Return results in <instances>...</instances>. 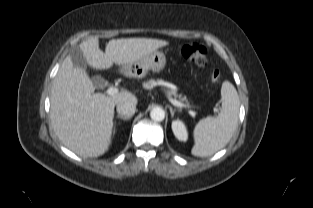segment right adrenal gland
I'll return each instance as SVG.
<instances>
[{
  "mask_svg": "<svg viewBox=\"0 0 313 208\" xmlns=\"http://www.w3.org/2000/svg\"><path fill=\"white\" fill-rule=\"evenodd\" d=\"M132 116H121V115H117V118L122 119L124 121L130 120Z\"/></svg>",
  "mask_w": 313,
  "mask_h": 208,
  "instance_id": "obj_1",
  "label": "right adrenal gland"
}]
</instances>
